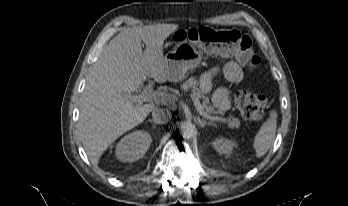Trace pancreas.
<instances>
[{
	"label": "pancreas",
	"mask_w": 348,
	"mask_h": 206,
	"mask_svg": "<svg viewBox=\"0 0 348 206\" xmlns=\"http://www.w3.org/2000/svg\"><path fill=\"white\" fill-rule=\"evenodd\" d=\"M198 85H199L198 80L195 77H191L183 83V85L181 86V89L183 91H188L191 89L192 93L196 97L202 99L203 100L202 105L209 116L213 114H218V111H216L214 107L210 104L209 97L203 94V92L200 90ZM223 119L225 120L224 121L220 120V121L226 122L229 127H238L240 125V121L237 118L229 117V118H223Z\"/></svg>",
	"instance_id": "obj_1"
}]
</instances>
